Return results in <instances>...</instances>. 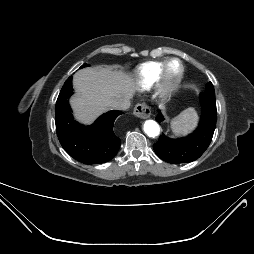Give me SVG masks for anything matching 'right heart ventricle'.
<instances>
[{
	"instance_id": "1",
	"label": "right heart ventricle",
	"mask_w": 254,
	"mask_h": 254,
	"mask_svg": "<svg viewBox=\"0 0 254 254\" xmlns=\"http://www.w3.org/2000/svg\"><path fill=\"white\" fill-rule=\"evenodd\" d=\"M166 61H150L142 64L136 73V80L139 87L148 90L159 81L161 69Z\"/></svg>"
}]
</instances>
